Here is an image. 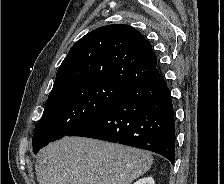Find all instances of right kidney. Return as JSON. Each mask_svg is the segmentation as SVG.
<instances>
[{
	"mask_svg": "<svg viewBox=\"0 0 224 184\" xmlns=\"http://www.w3.org/2000/svg\"><path fill=\"white\" fill-rule=\"evenodd\" d=\"M134 184H155V182L152 177H144L136 181Z\"/></svg>",
	"mask_w": 224,
	"mask_h": 184,
	"instance_id": "right-kidney-1",
	"label": "right kidney"
}]
</instances>
